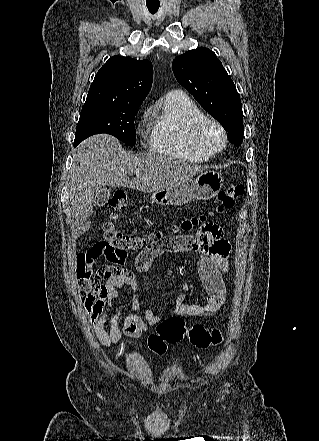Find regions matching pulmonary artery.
I'll return each mask as SVG.
<instances>
[{"label":"pulmonary artery","mask_w":319,"mask_h":441,"mask_svg":"<svg viewBox=\"0 0 319 441\" xmlns=\"http://www.w3.org/2000/svg\"><path fill=\"white\" fill-rule=\"evenodd\" d=\"M168 95L179 96V95H183V93L179 90H175V91L170 92Z\"/></svg>","instance_id":"1"}]
</instances>
